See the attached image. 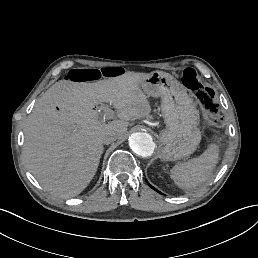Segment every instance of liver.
I'll return each instance as SVG.
<instances>
[{"instance_id":"obj_1","label":"liver","mask_w":258,"mask_h":258,"mask_svg":"<svg viewBox=\"0 0 258 258\" xmlns=\"http://www.w3.org/2000/svg\"><path fill=\"white\" fill-rule=\"evenodd\" d=\"M151 74L127 71L93 83L60 80L45 92L26 121L23 146L24 162L45 190L68 199L87 187L103 153L102 136L114 131L123 137L129 120L151 112L139 87ZM102 102L120 120L101 123Z\"/></svg>"}]
</instances>
